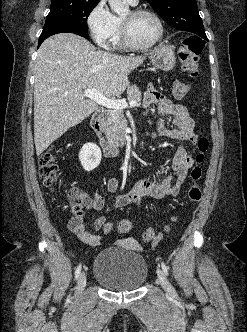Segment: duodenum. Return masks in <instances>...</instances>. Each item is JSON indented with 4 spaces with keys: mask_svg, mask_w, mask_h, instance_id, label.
Here are the masks:
<instances>
[{
    "mask_svg": "<svg viewBox=\"0 0 247 332\" xmlns=\"http://www.w3.org/2000/svg\"><path fill=\"white\" fill-rule=\"evenodd\" d=\"M104 116V110L101 108L97 109L91 119V128L99 139L104 155L106 157H115L118 154V149L112 144L106 134Z\"/></svg>",
    "mask_w": 247,
    "mask_h": 332,
    "instance_id": "duodenum-1",
    "label": "duodenum"
}]
</instances>
